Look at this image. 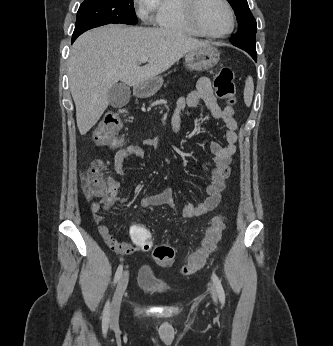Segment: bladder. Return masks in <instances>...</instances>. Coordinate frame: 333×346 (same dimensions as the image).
Listing matches in <instances>:
<instances>
[{
  "instance_id": "obj_1",
  "label": "bladder",
  "mask_w": 333,
  "mask_h": 346,
  "mask_svg": "<svg viewBox=\"0 0 333 346\" xmlns=\"http://www.w3.org/2000/svg\"><path fill=\"white\" fill-rule=\"evenodd\" d=\"M138 287L151 294H158L166 289L165 284L149 266L141 267L138 275Z\"/></svg>"
}]
</instances>
